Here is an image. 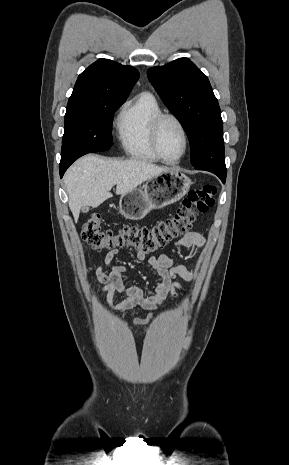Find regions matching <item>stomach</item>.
I'll use <instances>...</instances> for the list:
<instances>
[{"mask_svg": "<svg viewBox=\"0 0 289 465\" xmlns=\"http://www.w3.org/2000/svg\"><path fill=\"white\" fill-rule=\"evenodd\" d=\"M192 181L184 173L170 169L146 181L143 188L121 195V214L129 220H141L151 210L161 209L180 200Z\"/></svg>", "mask_w": 289, "mask_h": 465, "instance_id": "obj_1", "label": "stomach"}]
</instances>
